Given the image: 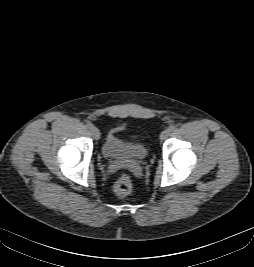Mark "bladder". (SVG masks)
<instances>
[{"instance_id":"bladder-1","label":"bladder","mask_w":254,"mask_h":267,"mask_svg":"<svg viewBox=\"0 0 254 267\" xmlns=\"http://www.w3.org/2000/svg\"><path fill=\"white\" fill-rule=\"evenodd\" d=\"M121 127L113 128L102 145V154L109 160H141L146 157L147 149L141 142L125 141L119 136Z\"/></svg>"}]
</instances>
